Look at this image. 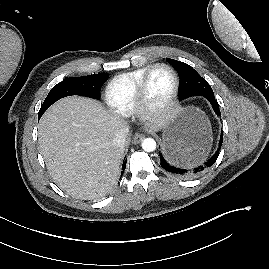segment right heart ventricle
<instances>
[{
  "label": "right heart ventricle",
  "mask_w": 269,
  "mask_h": 269,
  "mask_svg": "<svg viewBox=\"0 0 269 269\" xmlns=\"http://www.w3.org/2000/svg\"><path fill=\"white\" fill-rule=\"evenodd\" d=\"M148 67L120 73L109 81L105 89V99L114 112L122 116L134 112L137 85Z\"/></svg>",
  "instance_id": "1"
}]
</instances>
